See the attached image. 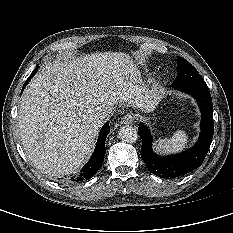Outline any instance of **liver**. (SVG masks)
I'll list each match as a JSON object with an SVG mask.
<instances>
[{
  "mask_svg": "<svg viewBox=\"0 0 233 233\" xmlns=\"http://www.w3.org/2000/svg\"><path fill=\"white\" fill-rule=\"evenodd\" d=\"M147 89L130 56L100 52L44 67L24 90L18 125L30 162L48 176L76 171L102 126L95 116L128 105L152 111L161 99Z\"/></svg>",
  "mask_w": 233,
  "mask_h": 233,
  "instance_id": "liver-1",
  "label": "liver"
}]
</instances>
